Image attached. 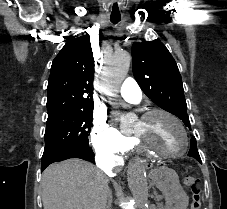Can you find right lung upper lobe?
Here are the masks:
<instances>
[{
  "label": "right lung upper lobe",
  "instance_id": "1",
  "mask_svg": "<svg viewBox=\"0 0 227 209\" xmlns=\"http://www.w3.org/2000/svg\"><path fill=\"white\" fill-rule=\"evenodd\" d=\"M87 36L67 42L53 60L47 87V107L58 99L92 98L94 59Z\"/></svg>",
  "mask_w": 227,
  "mask_h": 209
}]
</instances>
